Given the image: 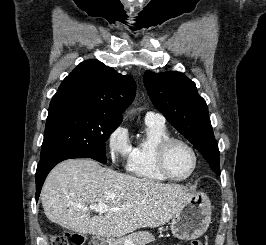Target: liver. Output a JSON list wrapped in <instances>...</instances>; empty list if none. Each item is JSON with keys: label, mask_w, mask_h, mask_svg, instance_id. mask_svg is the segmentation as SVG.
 I'll use <instances>...</instances> for the list:
<instances>
[{"label": "liver", "mask_w": 266, "mask_h": 245, "mask_svg": "<svg viewBox=\"0 0 266 245\" xmlns=\"http://www.w3.org/2000/svg\"><path fill=\"white\" fill-rule=\"evenodd\" d=\"M194 195L179 185H163L104 169L93 159H68L49 173L41 191L42 207L52 223L83 235L123 237L144 227H161ZM107 205L91 217L79 209ZM130 205L127 209H123Z\"/></svg>", "instance_id": "obj_1"}]
</instances>
